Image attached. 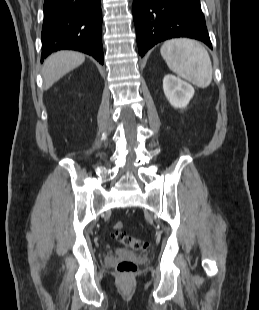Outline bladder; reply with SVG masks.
I'll return each mask as SVG.
<instances>
[{
    "instance_id": "bladder-1",
    "label": "bladder",
    "mask_w": 259,
    "mask_h": 310,
    "mask_svg": "<svg viewBox=\"0 0 259 310\" xmlns=\"http://www.w3.org/2000/svg\"><path fill=\"white\" fill-rule=\"evenodd\" d=\"M118 254L123 256V257L129 258L133 255V252L118 251Z\"/></svg>"
}]
</instances>
